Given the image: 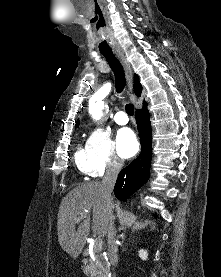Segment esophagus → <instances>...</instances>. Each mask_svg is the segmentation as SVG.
<instances>
[{"label":"esophagus","mask_w":221,"mask_h":277,"mask_svg":"<svg viewBox=\"0 0 221 277\" xmlns=\"http://www.w3.org/2000/svg\"><path fill=\"white\" fill-rule=\"evenodd\" d=\"M115 55L119 58L121 61L125 74H126V79L128 83V88L130 91H132L133 87V75H132V69L130 67V64L128 63L127 59L125 58L124 54L120 49H115L114 50Z\"/></svg>","instance_id":"1"}]
</instances>
